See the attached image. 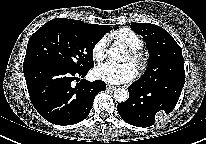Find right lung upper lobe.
Returning <instances> with one entry per match:
<instances>
[{
	"instance_id": "1",
	"label": "right lung upper lobe",
	"mask_w": 206,
	"mask_h": 144,
	"mask_svg": "<svg viewBox=\"0 0 206 144\" xmlns=\"http://www.w3.org/2000/svg\"><path fill=\"white\" fill-rule=\"evenodd\" d=\"M61 19H65V18H61ZM65 20H69L72 21L80 26H83L93 32L99 33L101 35L104 36L105 33L109 32L112 28L109 26H104V25H96V24H87L82 22L81 20H73V19H65Z\"/></svg>"
}]
</instances>
